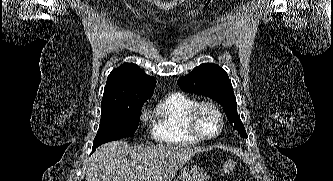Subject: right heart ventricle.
I'll return each mask as SVG.
<instances>
[{"label": "right heart ventricle", "mask_w": 333, "mask_h": 181, "mask_svg": "<svg viewBox=\"0 0 333 181\" xmlns=\"http://www.w3.org/2000/svg\"><path fill=\"white\" fill-rule=\"evenodd\" d=\"M196 101L183 93H172L158 102L151 112L153 137L169 144H196L201 139L191 133L187 116Z\"/></svg>", "instance_id": "right-heart-ventricle-1"}]
</instances>
